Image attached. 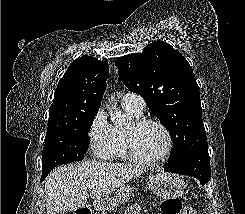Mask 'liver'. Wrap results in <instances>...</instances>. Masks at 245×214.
I'll return each instance as SVG.
<instances>
[{
    "label": "liver",
    "instance_id": "6515ba94",
    "mask_svg": "<svg viewBox=\"0 0 245 214\" xmlns=\"http://www.w3.org/2000/svg\"><path fill=\"white\" fill-rule=\"evenodd\" d=\"M142 173L143 169L139 167L99 161L58 167L45 182L47 214L83 207L89 197V184L95 185L90 189L91 197L99 199Z\"/></svg>",
    "mask_w": 245,
    "mask_h": 214
}]
</instances>
